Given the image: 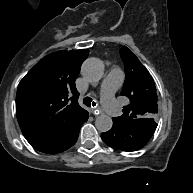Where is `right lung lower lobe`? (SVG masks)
Returning <instances> with one entry per match:
<instances>
[{
	"instance_id": "right-lung-lower-lobe-1",
	"label": "right lung lower lobe",
	"mask_w": 193,
	"mask_h": 193,
	"mask_svg": "<svg viewBox=\"0 0 193 193\" xmlns=\"http://www.w3.org/2000/svg\"><path fill=\"white\" fill-rule=\"evenodd\" d=\"M78 134H79V132L63 147L56 149V150H53V151H50V152H46V153H59V152H62L64 150H67L76 142Z\"/></svg>"
}]
</instances>
